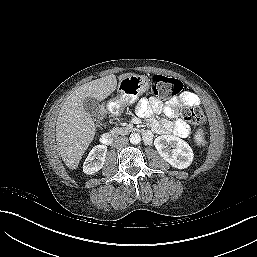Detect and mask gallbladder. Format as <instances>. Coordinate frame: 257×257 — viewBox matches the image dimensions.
<instances>
[{"label": "gallbladder", "mask_w": 257, "mask_h": 257, "mask_svg": "<svg viewBox=\"0 0 257 257\" xmlns=\"http://www.w3.org/2000/svg\"><path fill=\"white\" fill-rule=\"evenodd\" d=\"M85 111L91 116H98L100 112L99 101L94 97H87L83 100Z\"/></svg>", "instance_id": "gallbladder-1"}]
</instances>
